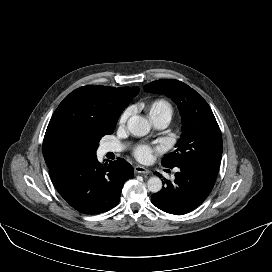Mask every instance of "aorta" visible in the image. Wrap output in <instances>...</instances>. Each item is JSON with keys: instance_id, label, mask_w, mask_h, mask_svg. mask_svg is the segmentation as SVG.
<instances>
[{"instance_id": "1", "label": "aorta", "mask_w": 272, "mask_h": 272, "mask_svg": "<svg viewBox=\"0 0 272 272\" xmlns=\"http://www.w3.org/2000/svg\"><path fill=\"white\" fill-rule=\"evenodd\" d=\"M128 130L137 137L147 135L151 129L150 123L141 116H132L127 122ZM147 188L152 193H157L162 188V181L158 177H151L147 181Z\"/></svg>"}]
</instances>
